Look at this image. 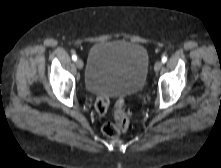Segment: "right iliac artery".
Here are the masks:
<instances>
[{
    "mask_svg": "<svg viewBox=\"0 0 221 168\" xmlns=\"http://www.w3.org/2000/svg\"><path fill=\"white\" fill-rule=\"evenodd\" d=\"M72 60L73 61H76L77 60V56L74 54V55H72Z\"/></svg>",
    "mask_w": 221,
    "mask_h": 168,
    "instance_id": "obj_1",
    "label": "right iliac artery"
}]
</instances>
